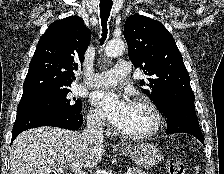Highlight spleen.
I'll use <instances>...</instances> for the list:
<instances>
[{
	"label": "spleen",
	"instance_id": "obj_1",
	"mask_svg": "<svg viewBox=\"0 0 224 174\" xmlns=\"http://www.w3.org/2000/svg\"><path fill=\"white\" fill-rule=\"evenodd\" d=\"M195 169H196V171H197V172H196V174H197V173L199 172V166H196Z\"/></svg>",
	"mask_w": 224,
	"mask_h": 174
}]
</instances>
